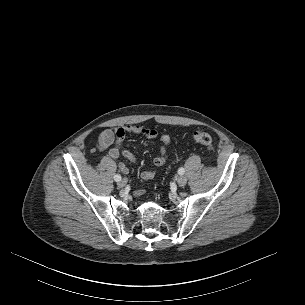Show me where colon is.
<instances>
[{"label": "colon", "instance_id": "5ec220e1", "mask_svg": "<svg viewBox=\"0 0 305 305\" xmlns=\"http://www.w3.org/2000/svg\"><path fill=\"white\" fill-rule=\"evenodd\" d=\"M193 139L204 146H206L209 150H213V140L211 136L206 132H195L193 134Z\"/></svg>", "mask_w": 305, "mask_h": 305}]
</instances>
